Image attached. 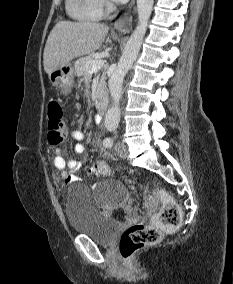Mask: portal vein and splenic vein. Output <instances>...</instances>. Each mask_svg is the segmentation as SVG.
I'll list each match as a JSON object with an SVG mask.
<instances>
[{"label":"portal vein and splenic vein","mask_w":233,"mask_h":284,"mask_svg":"<svg viewBox=\"0 0 233 284\" xmlns=\"http://www.w3.org/2000/svg\"><path fill=\"white\" fill-rule=\"evenodd\" d=\"M105 61L101 59H96L90 61L87 66H90V72H97L104 66Z\"/></svg>","instance_id":"18ae733b"}]
</instances>
